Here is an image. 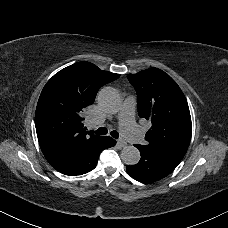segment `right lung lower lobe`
I'll use <instances>...</instances> for the list:
<instances>
[{
  "mask_svg": "<svg viewBox=\"0 0 228 228\" xmlns=\"http://www.w3.org/2000/svg\"><path fill=\"white\" fill-rule=\"evenodd\" d=\"M115 144L116 141L109 136L102 137L96 143L78 147L51 165L65 175H82L95 168L101 151L113 147Z\"/></svg>",
  "mask_w": 228,
  "mask_h": 228,
  "instance_id": "1",
  "label": "right lung lower lobe"
}]
</instances>
